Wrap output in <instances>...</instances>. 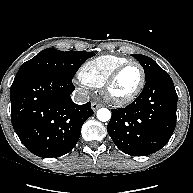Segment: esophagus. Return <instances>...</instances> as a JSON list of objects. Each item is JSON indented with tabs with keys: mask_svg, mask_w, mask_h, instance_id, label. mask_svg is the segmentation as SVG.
<instances>
[{
	"mask_svg": "<svg viewBox=\"0 0 193 193\" xmlns=\"http://www.w3.org/2000/svg\"><path fill=\"white\" fill-rule=\"evenodd\" d=\"M102 105L96 102L91 103V108L93 111H96L98 108H100Z\"/></svg>",
	"mask_w": 193,
	"mask_h": 193,
	"instance_id": "obj_1",
	"label": "esophagus"
}]
</instances>
